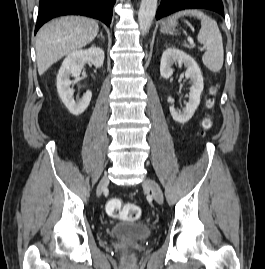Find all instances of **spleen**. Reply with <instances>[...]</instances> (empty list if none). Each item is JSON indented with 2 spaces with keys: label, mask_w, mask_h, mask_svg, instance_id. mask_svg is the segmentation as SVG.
Here are the masks:
<instances>
[{
  "label": "spleen",
  "mask_w": 265,
  "mask_h": 269,
  "mask_svg": "<svg viewBox=\"0 0 265 269\" xmlns=\"http://www.w3.org/2000/svg\"><path fill=\"white\" fill-rule=\"evenodd\" d=\"M182 16H193L201 21V29L197 40L207 48V51L202 56L203 64L210 71L219 72L223 66L224 50L222 35L216 21L197 9L179 11L169 17L168 21L170 24H175L176 20Z\"/></svg>",
  "instance_id": "obj_1"
}]
</instances>
